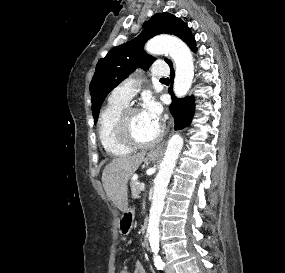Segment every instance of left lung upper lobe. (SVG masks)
<instances>
[{"label":"left lung upper lobe","mask_w":285,"mask_h":273,"mask_svg":"<svg viewBox=\"0 0 285 273\" xmlns=\"http://www.w3.org/2000/svg\"><path fill=\"white\" fill-rule=\"evenodd\" d=\"M173 34L184 42L192 35L181 19L169 13L155 14L145 22L143 31L133 40L113 48L96 67L90 83L92 113L97 122L101 105L107 94L136 68H148L155 60L143 47L147 40L159 34ZM168 64L170 60L165 59Z\"/></svg>","instance_id":"1"}]
</instances>
